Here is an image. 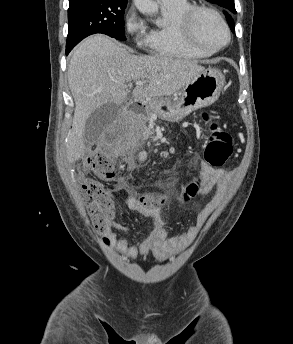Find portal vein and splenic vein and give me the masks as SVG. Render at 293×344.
Instances as JSON below:
<instances>
[{"instance_id":"portal-vein-and-splenic-vein-1","label":"portal vein and splenic vein","mask_w":293,"mask_h":344,"mask_svg":"<svg viewBox=\"0 0 293 344\" xmlns=\"http://www.w3.org/2000/svg\"><path fill=\"white\" fill-rule=\"evenodd\" d=\"M146 82L145 81H136V84L137 85H143V84H145Z\"/></svg>"}]
</instances>
